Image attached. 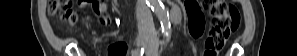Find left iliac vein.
Returning <instances> with one entry per match:
<instances>
[{
	"label": "left iliac vein",
	"instance_id": "1",
	"mask_svg": "<svg viewBox=\"0 0 297 56\" xmlns=\"http://www.w3.org/2000/svg\"><path fill=\"white\" fill-rule=\"evenodd\" d=\"M147 56H157V46L153 42H148L146 45Z\"/></svg>",
	"mask_w": 297,
	"mask_h": 56
}]
</instances>
